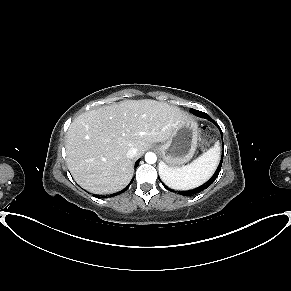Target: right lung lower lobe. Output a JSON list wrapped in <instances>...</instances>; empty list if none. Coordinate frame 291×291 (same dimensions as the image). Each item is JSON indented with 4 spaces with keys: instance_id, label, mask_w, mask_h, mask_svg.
<instances>
[{
    "instance_id": "right-lung-lower-lobe-1",
    "label": "right lung lower lobe",
    "mask_w": 291,
    "mask_h": 291,
    "mask_svg": "<svg viewBox=\"0 0 291 291\" xmlns=\"http://www.w3.org/2000/svg\"><path fill=\"white\" fill-rule=\"evenodd\" d=\"M139 165V160L136 162V167ZM112 196V195H111Z\"/></svg>"
}]
</instances>
